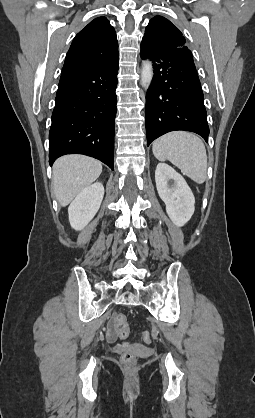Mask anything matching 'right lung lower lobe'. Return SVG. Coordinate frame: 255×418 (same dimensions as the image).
<instances>
[{"label": "right lung lower lobe", "instance_id": "right-lung-lower-lobe-1", "mask_svg": "<svg viewBox=\"0 0 255 418\" xmlns=\"http://www.w3.org/2000/svg\"><path fill=\"white\" fill-rule=\"evenodd\" d=\"M119 60L62 73L49 131L50 164L65 154L99 159L112 170Z\"/></svg>", "mask_w": 255, "mask_h": 418}]
</instances>
